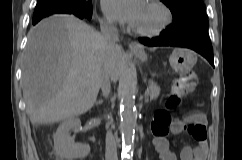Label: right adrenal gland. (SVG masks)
I'll return each instance as SVG.
<instances>
[{
    "label": "right adrenal gland",
    "instance_id": "right-adrenal-gland-1",
    "mask_svg": "<svg viewBox=\"0 0 242 160\" xmlns=\"http://www.w3.org/2000/svg\"><path fill=\"white\" fill-rule=\"evenodd\" d=\"M102 103H103V100L102 99H100L99 101H96L95 102L96 105H99V104H102Z\"/></svg>",
    "mask_w": 242,
    "mask_h": 160
}]
</instances>
